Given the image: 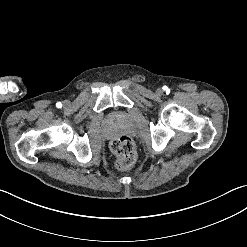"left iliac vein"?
<instances>
[{"label":"left iliac vein","mask_w":247,"mask_h":247,"mask_svg":"<svg viewBox=\"0 0 247 247\" xmlns=\"http://www.w3.org/2000/svg\"><path fill=\"white\" fill-rule=\"evenodd\" d=\"M156 94H157L158 96H161V95L163 94V90H162L161 88H158V89L156 90Z\"/></svg>","instance_id":"left-iliac-vein-1"}]
</instances>
